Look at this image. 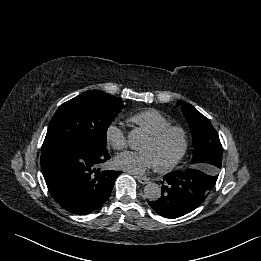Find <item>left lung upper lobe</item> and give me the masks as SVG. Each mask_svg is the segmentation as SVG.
Here are the masks:
<instances>
[{
	"label": "left lung upper lobe",
	"instance_id": "1",
	"mask_svg": "<svg viewBox=\"0 0 261 261\" xmlns=\"http://www.w3.org/2000/svg\"><path fill=\"white\" fill-rule=\"evenodd\" d=\"M181 110L193 137V164H204L218 170L222 164V145L210 121L191 104L180 101Z\"/></svg>",
	"mask_w": 261,
	"mask_h": 261
}]
</instances>
